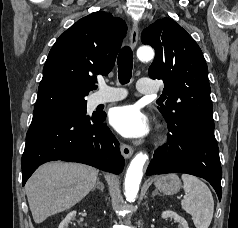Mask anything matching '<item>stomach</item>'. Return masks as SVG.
<instances>
[{"label":"stomach","instance_id":"0dacf381","mask_svg":"<svg viewBox=\"0 0 238 228\" xmlns=\"http://www.w3.org/2000/svg\"><path fill=\"white\" fill-rule=\"evenodd\" d=\"M154 184L162 193L168 195L177 193L181 188L180 179L176 174L157 176Z\"/></svg>","mask_w":238,"mask_h":228}]
</instances>
